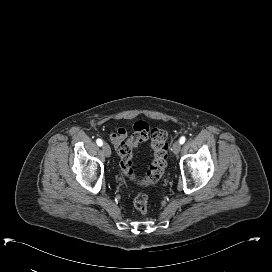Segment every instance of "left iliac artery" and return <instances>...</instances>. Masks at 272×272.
Masks as SVG:
<instances>
[{
  "mask_svg": "<svg viewBox=\"0 0 272 272\" xmlns=\"http://www.w3.org/2000/svg\"><path fill=\"white\" fill-rule=\"evenodd\" d=\"M185 137L184 136H182L181 138H180V140H179V142H180V144H183L184 142H185Z\"/></svg>",
  "mask_w": 272,
  "mask_h": 272,
  "instance_id": "left-iliac-artery-1",
  "label": "left iliac artery"
}]
</instances>
